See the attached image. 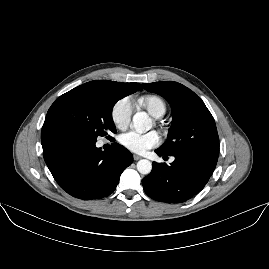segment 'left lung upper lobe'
<instances>
[{"label":"left lung upper lobe","mask_w":269,"mask_h":269,"mask_svg":"<svg viewBox=\"0 0 269 269\" xmlns=\"http://www.w3.org/2000/svg\"><path fill=\"white\" fill-rule=\"evenodd\" d=\"M143 87L164 97L172 107L173 126L160 148L217 162L219 137L204 102L189 88L173 81L143 84Z\"/></svg>","instance_id":"1"}]
</instances>
